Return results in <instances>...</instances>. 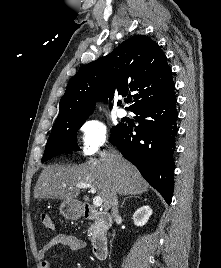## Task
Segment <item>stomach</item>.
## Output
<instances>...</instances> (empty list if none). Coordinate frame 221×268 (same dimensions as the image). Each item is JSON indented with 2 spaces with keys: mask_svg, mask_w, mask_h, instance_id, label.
I'll return each mask as SVG.
<instances>
[{
  "mask_svg": "<svg viewBox=\"0 0 221 268\" xmlns=\"http://www.w3.org/2000/svg\"><path fill=\"white\" fill-rule=\"evenodd\" d=\"M60 213L69 220H77L82 216L83 208L80 202L64 200L60 205Z\"/></svg>",
  "mask_w": 221,
  "mask_h": 268,
  "instance_id": "1",
  "label": "stomach"
}]
</instances>
